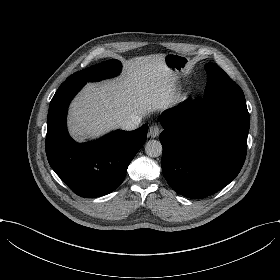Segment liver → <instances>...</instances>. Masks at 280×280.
I'll return each instance as SVG.
<instances>
[{
  "label": "liver",
  "mask_w": 280,
  "mask_h": 280,
  "mask_svg": "<svg viewBox=\"0 0 280 280\" xmlns=\"http://www.w3.org/2000/svg\"><path fill=\"white\" fill-rule=\"evenodd\" d=\"M165 54L135 57L123 63L120 77L88 83L73 100L68 117L71 136L79 141L98 137L132 115L140 117L159 109L155 99L177 97V75L165 64Z\"/></svg>",
  "instance_id": "liver-1"
}]
</instances>
